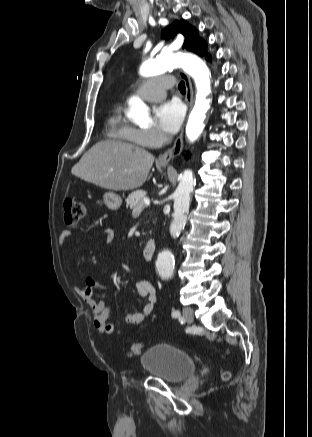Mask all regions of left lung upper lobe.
Wrapping results in <instances>:
<instances>
[{
	"label": "left lung upper lobe",
	"mask_w": 312,
	"mask_h": 437,
	"mask_svg": "<svg viewBox=\"0 0 312 437\" xmlns=\"http://www.w3.org/2000/svg\"><path fill=\"white\" fill-rule=\"evenodd\" d=\"M177 33H182L187 36L186 44L183 46L187 50L195 52L201 56L206 55V44L205 42L199 38L196 29L187 24L184 20L180 22L175 21L174 24L167 26L162 31L163 38H170L176 35ZM210 57L206 55V58Z\"/></svg>",
	"instance_id": "left-lung-upper-lobe-1"
}]
</instances>
